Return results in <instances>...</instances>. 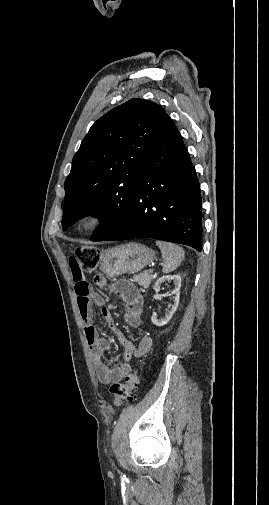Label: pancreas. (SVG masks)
Listing matches in <instances>:
<instances>
[{
    "mask_svg": "<svg viewBox=\"0 0 269 505\" xmlns=\"http://www.w3.org/2000/svg\"><path fill=\"white\" fill-rule=\"evenodd\" d=\"M133 279L135 282H138L140 286L148 288L152 280V273L149 270H147L144 271L143 273L134 275Z\"/></svg>",
    "mask_w": 269,
    "mask_h": 505,
    "instance_id": "pancreas-1",
    "label": "pancreas"
}]
</instances>
